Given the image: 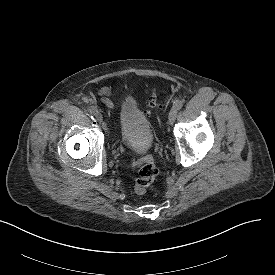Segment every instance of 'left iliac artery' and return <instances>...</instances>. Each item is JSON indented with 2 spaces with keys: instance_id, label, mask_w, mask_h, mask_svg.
Masks as SVG:
<instances>
[{
  "instance_id": "1",
  "label": "left iliac artery",
  "mask_w": 275,
  "mask_h": 275,
  "mask_svg": "<svg viewBox=\"0 0 275 275\" xmlns=\"http://www.w3.org/2000/svg\"><path fill=\"white\" fill-rule=\"evenodd\" d=\"M183 106V102L181 100H176L174 102V108L177 109V110H180Z\"/></svg>"
}]
</instances>
